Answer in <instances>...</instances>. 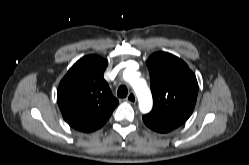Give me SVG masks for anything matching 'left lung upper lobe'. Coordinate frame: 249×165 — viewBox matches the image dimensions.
Wrapping results in <instances>:
<instances>
[{"label":"left lung upper lobe","mask_w":249,"mask_h":165,"mask_svg":"<svg viewBox=\"0 0 249 165\" xmlns=\"http://www.w3.org/2000/svg\"><path fill=\"white\" fill-rule=\"evenodd\" d=\"M153 109L146 117L181 126L191 116L198 94L194 73L180 58L156 52L147 60Z\"/></svg>","instance_id":"5c2ea615"}]
</instances>
